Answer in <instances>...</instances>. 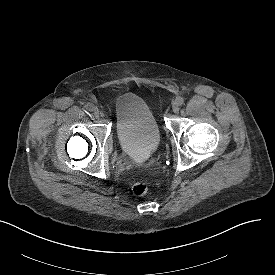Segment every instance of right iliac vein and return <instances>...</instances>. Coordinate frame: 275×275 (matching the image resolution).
I'll use <instances>...</instances> for the list:
<instances>
[{"label": "right iliac vein", "mask_w": 275, "mask_h": 275, "mask_svg": "<svg viewBox=\"0 0 275 275\" xmlns=\"http://www.w3.org/2000/svg\"><path fill=\"white\" fill-rule=\"evenodd\" d=\"M93 114L98 117L99 116V109L95 106H93V110H92Z\"/></svg>", "instance_id": "obj_1"}]
</instances>
